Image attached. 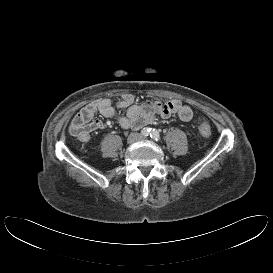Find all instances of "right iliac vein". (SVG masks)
Instances as JSON below:
<instances>
[{"label":"right iliac vein","mask_w":273,"mask_h":273,"mask_svg":"<svg viewBox=\"0 0 273 273\" xmlns=\"http://www.w3.org/2000/svg\"><path fill=\"white\" fill-rule=\"evenodd\" d=\"M135 140V137L131 136L129 139H128V143H133Z\"/></svg>","instance_id":"63e3f726"}]
</instances>
